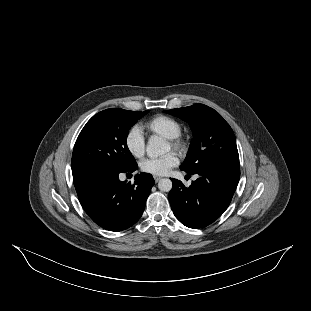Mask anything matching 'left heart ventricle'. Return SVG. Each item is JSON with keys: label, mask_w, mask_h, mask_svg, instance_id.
Returning a JSON list of instances; mask_svg holds the SVG:
<instances>
[{"label": "left heart ventricle", "mask_w": 311, "mask_h": 311, "mask_svg": "<svg viewBox=\"0 0 311 311\" xmlns=\"http://www.w3.org/2000/svg\"><path fill=\"white\" fill-rule=\"evenodd\" d=\"M171 148V146L168 144V150Z\"/></svg>", "instance_id": "1"}]
</instances>
